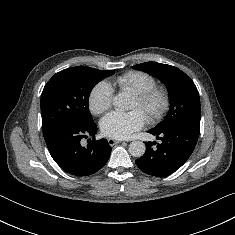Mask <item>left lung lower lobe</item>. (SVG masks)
Segmentation results:
<instances>
[{"label": "left lung lower lobe", "mask_w": 235, "mask_h": 235, "mask_svg": "<svg viewBox=\"0 0 235 235\" xmlns=\"http://www.w3.org/2000/svg\"><path fill=\"white\" fill-rule=\"evenodd\" d=\"M199 129L195 126H179L162 132L149 130L162 143L156 145V142H146V152L135 161L136 165L149 175L164 177L172 174L192 154Z\"/></svg>", "instance_id": "obj_1"}]
</instances>
